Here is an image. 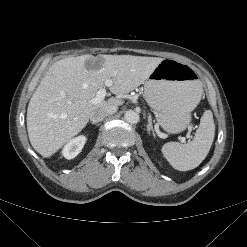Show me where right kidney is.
I'll use <instances>...</instances> for the list:
<instances>
[{
  "label": "right kidney",
  "instance_id": "obj_1",
  "mask_svg": "<svg viewBox=\"0 0 247 247\" xmlns=\"http://www.w3.org/2000/svg\"><path fill=\"white\" fill-rule=\"evenodd\" d=\"M86 142V137L81 135L76 138L71 139L63 148L62 155L66 159H73L75 158L84 147Z\"/></svg>",
  "mask_w": 247,
  "mask_h": 247
}]
</instances>
